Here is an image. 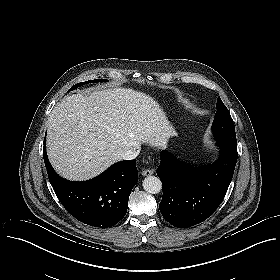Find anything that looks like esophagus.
Segmentation results:
<instances>
[{"mask_svg":"<svg viewBox=\"0 0 280 280\" xmlns=\"http://www.w3.org/2000/svg\"><path fill=\"white\" fill-rule=\"evenodd\" d=\"M154 173V169H144L142 170V176H151Z\"/></svg>","mask_w":280,"mask_h":280,"instance_id":"esophagus-1","label":"esophagus"}]
</instances>
